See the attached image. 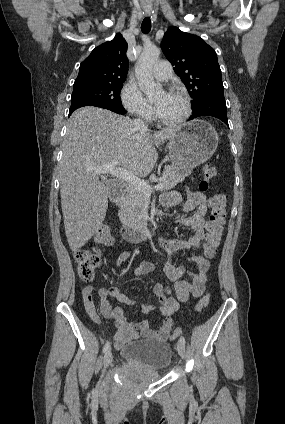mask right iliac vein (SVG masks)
<instances>
[{
    "label": "right iliac vein",
    "mask_w": 285,
    "mask_h": 424,
    "mask_svg": "<svg viewBox=\"0 0 285 424\" xmlns=\"http://www.w3.org/2000/svg\"><path fill=\"white\" fill-rule=\"evenodd\" d=\"M112 359H113L112 351H111V350H108V351L106 352L105 356H104V361H103V364H104V370H103V372H105L106 368H107V367L109 366V364L112 362Z\"/></svg>",
    "instance_id": "1"
}]
</instances>
